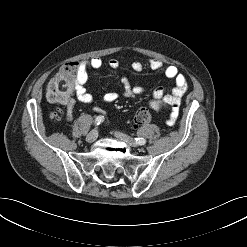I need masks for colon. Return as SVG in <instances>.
I'll list each match as a JSON object with an SVG mask.
<instances>
[{"instance_id":"1","label":"colon","mask_w":247,"mask_h":247,"mask_svg":"<svg viewBox=\"0 0 247 247\" xmlns=\"http://www.w3.org/2000/svg\"><path fill=\"white\" fill-rule=\"evenodd\" d=\"M77 85V64L68 63L63 66L48 83L47 97L51 102L64 103L71 99ZM151 119L149 111L141 108L134 115L137 126L147 124Z\"/></svg>"}]
</instances>
